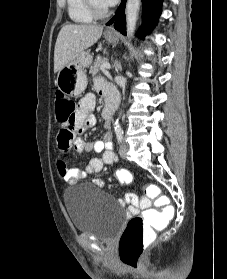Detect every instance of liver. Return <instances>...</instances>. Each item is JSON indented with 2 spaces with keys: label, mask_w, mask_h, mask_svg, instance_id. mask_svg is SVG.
<instances>
[{
  "label": "liver",
  "mask_w": 227,
  "mask_h": 279,
  "mask_svg": "<svg viewBox=\"0 0 227 279\" xmlns=\"http://www.w3.org/2000/svg\"><path fill=\"white\" fill-rule=\"evenodd\" d=\"M103 26L66 24L60 30L54 49V72L72 62L101 37Z\"/></svg>",
  "instance_id": "obj_1"
}]
</instances>
